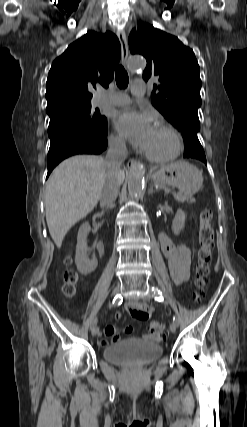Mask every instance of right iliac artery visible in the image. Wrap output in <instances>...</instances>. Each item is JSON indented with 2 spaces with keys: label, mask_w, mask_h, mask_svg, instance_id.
Segmentation results:
<instances>
[{
  "label": "right iliac artery",
  "mask_w": 247,
  "mask_h": 427,
  "mask_svg": "<svg viewBox=\"0 0 247 427\" xmlns=\"http://www.w3.org/2000/svg\"><path fill=\"white\" fill-rule=\"evenodd\" d=\"M123 301V298L121 295H116L115 298L112 301V304H109V307L111 306H119ZM97 323V318H94L91 322V327L94 326Z\"/></svg>",
  "instance_id": "obj_1"
}]
</instances>
